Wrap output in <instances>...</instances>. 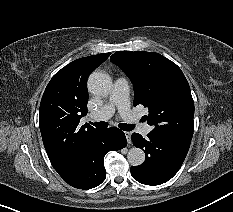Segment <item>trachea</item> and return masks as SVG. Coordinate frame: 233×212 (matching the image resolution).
<instances>
[{"label":"trachea","mask_w":233,"mask_h":212,"mask_svg":"<svg viewBox=\"0 0 233 212\" xmlns=\"http://www.w3.org/2000/svg\"><path fill=\"white\" fill-rule=\"evenodd\" d=\"M90 124H92L93 126H95L96 128H106L108 127V123L107 122H95V123H92L90 122ZM118 127L124 131H131L134 129V125L132 124H126V123H120L118 125Z\"/></svg>","instance_id":"obj_1"}]
</instances>
